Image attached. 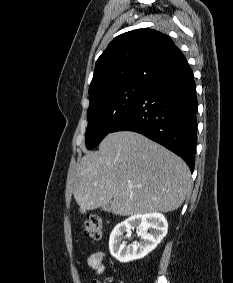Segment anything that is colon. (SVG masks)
<instances>
[{"label": "colon", "instance_id": "1", "mask_svg": "<svg viewBox=\"0 0 233 283\" xmlns=\"http://www.w3.org/2000/svg\"><path fill=\"white\" fill-rule=\"evenodd\" d=\"M102 233V220L97 215H90L85 220L82 226V234L84 238L96 241L100 238ZM92 283H100L94 280Z\"/></svg>", "mask_w": 233, "mask_h": 283}]
</instances>
